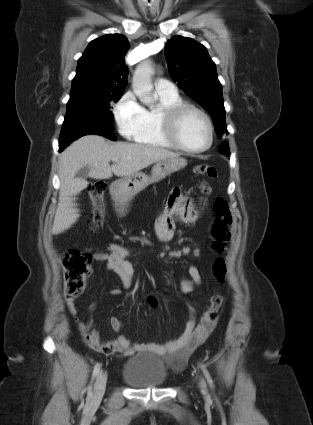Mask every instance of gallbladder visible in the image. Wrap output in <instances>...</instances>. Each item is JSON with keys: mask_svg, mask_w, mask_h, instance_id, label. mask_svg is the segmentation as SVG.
Returning <instances> with one entry per match:
<instances>
[{"mask_svg": "<svg viewBox=\"0 0 313 425\" xmlns=\"http://www.w3.org/2000/svg\"><path fill=\"white\" fill-rule=\"evenodd\" d=\"M89 172L90 168L88 166H84L78 171L77 176L80 179H86L89 176Z\"/></svg>", "mask_w": 313, "mask_h": 425, "instance_id": "obj_1", "label": "gallbladder"}]
</instances>
